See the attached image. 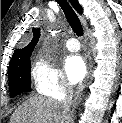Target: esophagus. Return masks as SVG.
<instances>
[{
	"mask_svg": "<svg viewBox=\"0 0 122 123\" xmlns=\"http://www.w3.org/2000/svg\"><path fill=\"white\" fill-rule=\"evenodd\" d=\"M80 18H81V21L84 24V26H86L87 22H86V19L84 18V16L80 15ZM86 40L88 41L87 34H86ZM91 71H92V59H91L90 49H88V51H87V75H86V78L84 79L83 83L79 86L77 93H80V91H82L83 88L85 87L87 81L90 78Z\"/></svg>",
	"mask_w": 122,
	"mask_h": 123,
	"instance_id": "1",
	"label": "esophagus"
}]
</instances>
